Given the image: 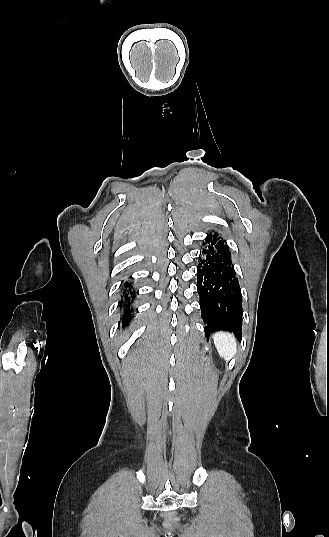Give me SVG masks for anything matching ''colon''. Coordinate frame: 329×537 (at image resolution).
I'll use <instances>...</instances> for the list:
<instances>
[{"instance_id":"obj_1","label":"colon","mask_w":329,"mask_h":537,"mask_svg":"<svg viewBox=\"0 0 329 537\" xmlns=\"http://www.w3.org/2000/svg\"><path fill=\"white\" fill-rule=\"evenodd\" d=\"M161 516L167 520L166 524L168 527H174L176 524L174 519L178 518L179 513L174 509H165L162 511Z\"/></svg>"}]
</instances>
